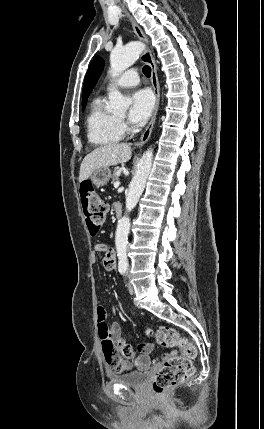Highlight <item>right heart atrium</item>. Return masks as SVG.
<instances>
[{"instance_id": "1", "label": "right heart atrium", "mask_w": 264, "mask_h": 429, "mask_svg": "<svg viewBox=\"0 0 264 429\" xmlns=\"http://www.w3.org/2000/svg\"><path fill=\"white\" fill-rule=\"evenodd\" d=\"M122 127H125V125H124V124H122Z\"/></svg>"}]
</instances>
